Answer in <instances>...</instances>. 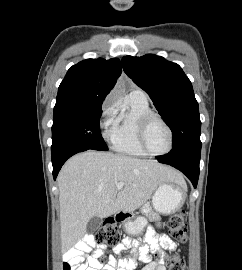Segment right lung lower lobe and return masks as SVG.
Instances as JSON below:
<instances>
[{"mask_svg":"<svg viewBox=\"0 0 242 270\" xmlns=\"http://www.w3.org/2000/svg\"><path fill=\"white\" fill-rule=\"evenodd\" d=\"M89 150L88 148H80V149H73L70 151L63 152L59 154L58 156L52 158L53 163V177L56 179L58 172L60 171L62 165L65 163V161L70 158L72 155Z\"/></svg>","mask_w":242,"mask_h":270,"instance_id":"obj_1","label":"right lung lower lobe"}]
</instances>
